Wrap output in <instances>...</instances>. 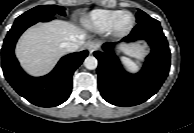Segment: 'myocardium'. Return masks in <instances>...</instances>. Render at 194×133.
Returning a JSON list of instances; mask_svg holds the SVG:
<instances>
[{"label":"myocardium","mask_w":194,"mask_h":133,"mask_svg":"<svg viewBox=\"0 0 194 133\" xmlns=\"http://www.w3.org/2000/svg\"><path fill=\"white\" fill-rule=\"evenodd\" d=\"M123 14H129L132 18V22L130 24V26L125 29V30H120L118 28V21L119 18L123 15ZM135 16L132 12L128 11V10H121L119 11L114 18L112 19L111 23H110V28H109V32L114 35L115 37L118 38H123L126 37L127 35H129L131 33V31L133 30L134 26H135Z\"/></svg>","instance_id":"myocardium-1"}]
</instances>
